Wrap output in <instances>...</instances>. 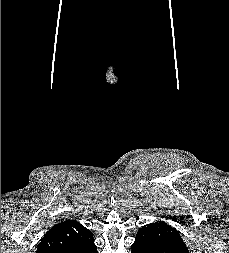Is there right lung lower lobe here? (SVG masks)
<instances>
[{"label":"right lung lower lobe","instance_id":"98d812e1","mask_svg":"<svg viewBox=\"0 0 229 253\" xmlns=\"http://www.w3.org/2000/svg\"><path fill=\"white\" fill-rule=\"evenodd\" d=\"M68 253H98V252H97V247L94 244V240H92L91 242H88L84 245L74 248Z\"/></svg>","mask_w":229,"mask_h":253}]
</instances>
